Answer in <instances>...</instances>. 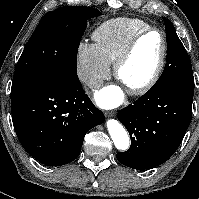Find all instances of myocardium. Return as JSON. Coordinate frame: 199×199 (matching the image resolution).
I'll return each mask as SVG.
<instances>
[{
  "label": "myocardium",
  "mask_w": 199,
  "mask_h": 199,
  "mask_svg": "<svg viewBox=\"0 0 199 199\" xmlns=\"http://www.w3.org/2000/svg\"><path fill=\"white\" fill-rule=\"evenodd\" d=\"M151 33H157L161 37V44H162L161 55H160V58H159V61L157 63L155 70L153 71L152 75L146 82H144L143 84H141L137 87L126 88L127 92L131 95L138 96V95L146 94L156 85V83L160 79L161 74L165 67L167 54H168V42H167L164 32L159 28L150 27V28L138 33L123 48V50L120 52V54L116 58L114 65H113L114 76L119 81V75H120V70H121L122 66L128 60V58L130 57V55L132 54V52L134 51V49L138 45V43L144 37H146L147 35H149Z\"/></svg>",
  "instance_id": "myocardium-1"
}]
</instances>
